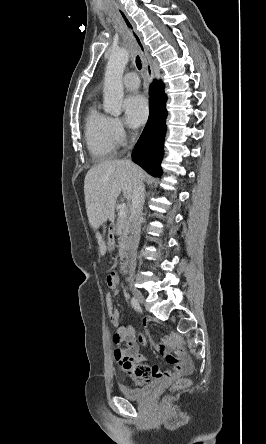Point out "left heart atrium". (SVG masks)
Returning <instances> with one entry per match:
<instances>
[{
  "label": "left heart atrium",
  "instance_id": "1",
  "mask_svg": "<svg viewBox=\"0 0 266 444\" xmlns=\"http://www.w3.org/2000/svg\"><path fill=\"white\" fill-rule=\"evenodd\" d=\"M124 112L127 122L137 127L143 124L149 113L146 99L137 93L129 95L124 101Z\"/></svg>",
  "mask_w": 266,
  "mask_h": 444
}]
</instances>
